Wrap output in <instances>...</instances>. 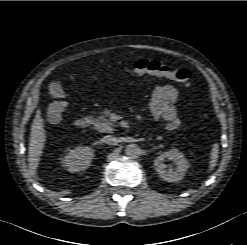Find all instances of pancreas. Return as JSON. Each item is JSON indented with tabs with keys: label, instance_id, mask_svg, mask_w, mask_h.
I'll list each match as a JSON object with an SVG mask.
<instances>
[{
	"label": "pancreas",
	"instance_id": "pancreas-1",
	"mask_svg": "<svg viewBox=\"0 0 247 245\" xmlns=\"http://www.w3.org/2000/svg\"><path fill=\"white\" fill-rule=\"evenodd\" d=\"M110 118H111V110L104 109L101 112V114L94 119V123H93L94 129L102 133L111 132L113 130L112 127L113 123ZM135 118L140 121L142 120V117L138 114L135 115Z\"/></svg>",
	"mask_w": 247,
	"mask_h": 245
}]
</instances>
